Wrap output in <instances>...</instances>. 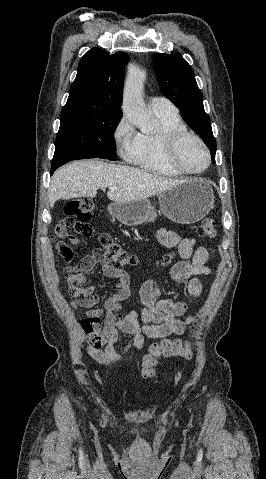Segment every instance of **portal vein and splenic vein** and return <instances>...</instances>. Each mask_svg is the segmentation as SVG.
I'll return each mask as SVG.
<instances>
[{"label":"portal vein and splenic vein","mask_w":266,"mask_h":479,"mask_svg":"<svg viewBox=\"0 0 266 479\" xmlns=\"http://www.w3.org/2000/svg\"><path fill=\"white\" fill-rule=\"evenodd\" d=\"M109 189H110V190H116L117 187H110Z\"/></svg>","instance_id":"portal-vein-and-splenic-vein-1"}]
</instances>
